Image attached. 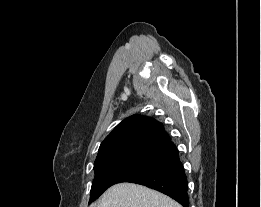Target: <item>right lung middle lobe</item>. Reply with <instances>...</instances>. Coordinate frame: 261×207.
I'll list each match as a JSON object with an SVG mask.
<instances>
[{
	"instance_id": "dd1d6c3e",
	"label": "right lung middle lobe",
	"mask_w": 261,
	"mask_h": 207,
	"mask_svg": "<svg viewBox=\"0 0 261 207\" xmlns=\"http://www.w3.org/2000/svg\"><path fill=\"white\" fill-rule=\"evenodd\" d=\"M156 160L126 158L94 165L95 178L91 187L90 202L97 199L110 186L125 182L128 178L158 164Z\"/></svg>"
}]
</instances>
